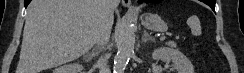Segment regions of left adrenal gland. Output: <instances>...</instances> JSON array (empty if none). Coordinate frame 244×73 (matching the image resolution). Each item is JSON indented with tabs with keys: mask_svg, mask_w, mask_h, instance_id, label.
<instances>
[{
	"mask_svg": "<svg viewBox=\"0 0 244 73\" xmlns=\"http://www.w3.org/2000/svg\"><path fill=\"white\" fill-rule=\"evenodd\" d=\"M147 41H155V39L153 37H151L146 30H144L143 32V36H142V43H145Z\"/></svg>",
	"mask_w": 244,
	"mask_h": 73,
	"instance_id": "obj_1",
	"label": "left adrenal gland"
}]
</instances>
